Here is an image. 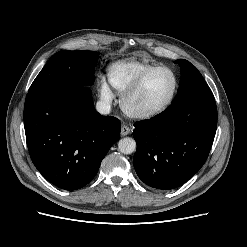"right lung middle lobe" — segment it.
<instances>
[{
  "instance_id": "dd1d6c3e",
  "label": "right lung middle lobe",
  "mask_w": 247,
  "mask_h": 247,
  "mask_svg": "<svg viewBox=\"0 0 247 247\" xmlns=\"http://www.w3.org/2000/svg\"><path fill=\"white\" fill-rule=\"evenodd\" d=\"M97 58L98 53L94 51H59L43 67L29 92L52 86L93 84Z\"/></svg>"
}]
</instances>
